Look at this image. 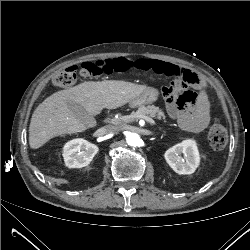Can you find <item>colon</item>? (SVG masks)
<instances>
[{
  "label": "colon",
  "instance_id": "5ec220e1",
  "mask_svg": "<svg viewBox=\"0 0 250 250\" xmlns=\"http://www.w3.org/2000/svg\"><path fill=\"white\" fill-rule=\"evenodd\" d=\"M133 65L132 61L126 58H116L108 60H97L86 62L82 65V72L88 76L109 75L112 73L124 72L130 69ZM78 66H70L58 72L53 77V83L60 88L71 87L77 80ZM200 77L191 70H184L182 76H175L173 80L174 89H181L182 84L198 85ZM199 95L194 90H185L180 99L187 104L195 105ZM208 141L212 148L216 150L223 149L228 141V133L226 129L219 123H214L208 130Z\"/></svg>",
  "mask_w": 250,
  "mask_h": 250
}]
</instances>
